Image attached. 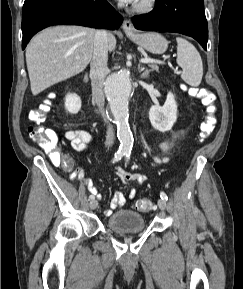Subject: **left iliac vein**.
Returning <instances> with one entry per match:
<instances>
[{
  "label": "left iliac vein",
  "mask_w": 243,
  "mask_h": 289,
  "mask_svg": "<svg viewBox=\"0 0 243 289\" xmlns=\"http://www.w3.org/2000/svg\"><path fill=\"white\" fill-rule=\"evenodd\" d=\"M158 206H159V208H160L161 210H165V208H166V202H165V200L159 199V200H158Z\"/></svg>",
  "instance_id": "left-iliac-vein-1"
}]
</instances>
